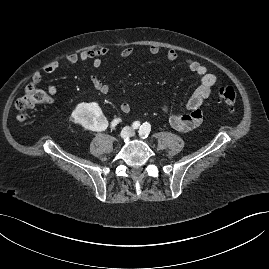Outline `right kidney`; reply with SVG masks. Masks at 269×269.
I'll return each instance as SVG.
<instances>
[{
  "instance_id": "1",
  "label": "right kidney",
  "mask_w": 269,
  "mask_h": 269,
  "mask_svg": "<svg viewBox=\"0 0 269 269\" xmlns=\"http://www.w3.org/2000/svg\"><path fill=\"white\" fill-rule=\"evenodd\" d=\"M68 115L71 122L74 123L77 121L91 130H103L107 126L101 109L95 103H82L77 107L76 112L72 110Z\"/></svg>"
}]
</instances>
